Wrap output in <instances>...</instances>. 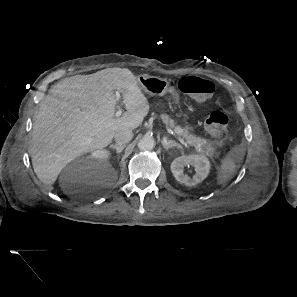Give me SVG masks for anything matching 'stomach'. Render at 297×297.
<instances>
[{"label":"stomach","mask_w":297,"mask_h":297,"mask_svg":"<svg viewBox=\"0 0 297 297\" xmlns=\"http://www.w3.org/2000/svg\"><path fill=\"white\" fill-rule=\"evenodd\" d=\"M137 80L140 88L151 96H163L167 92L174 93L173 88L170 87L169 82L164 78L145 74L140 75Z\"/></svg>","instance_id":"1"}]
</instances>
